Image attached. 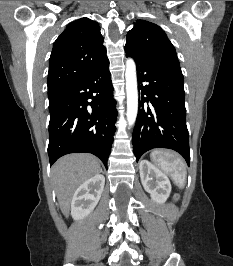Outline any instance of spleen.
Wrapping results in <instances>:
<instances>
[{
	"label": "spleen",
	"instance_id": "1",
	"mask_svg": "<svg viewBox=\"0 0 233 266\" xmlns=\"http://www.w3.org/2000/svg\"><path fill=\"white\" fill-rule=\"evenodd\" d=\"M150 157L152 162L169 175L179 188H184L187 172L182 159L177 154L169 151L154 150Z\"/></svg>",
	"mask_w": 233,
	"mask_h": 266
}]
</instances>
